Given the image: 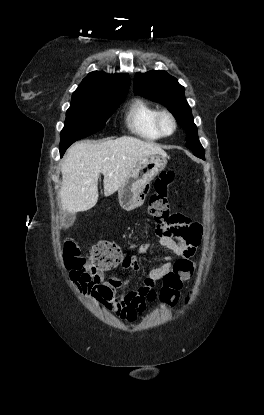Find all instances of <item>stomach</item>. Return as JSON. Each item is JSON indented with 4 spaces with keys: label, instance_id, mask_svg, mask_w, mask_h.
<instances>
[{
    "label": "stomach",
    "instance_id": "1",
    "mask_svg": "<svg viewBox=\"0 0 264 415\" xmlns=\"http://www.w3.org/2000/svg\"><path fill=\"white\" fill-rule=\"evenodd\" d=\"M167 165L166 156L153 155L137 162L126 182L118 190L120 206L132 211L142 205L145 186Z\"/></svg>",
    "mask_w": 264,
    "mask_h": 415
}]
</instances>
